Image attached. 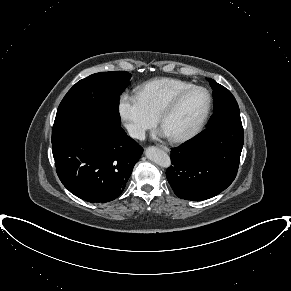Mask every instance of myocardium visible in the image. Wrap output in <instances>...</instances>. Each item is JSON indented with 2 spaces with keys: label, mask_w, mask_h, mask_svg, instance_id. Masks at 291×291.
<instances>
[{
  "label": "myocardium",
  "mask_w": 291,
  "mask_h": 291,
  "mask_svg": "<svg viewBox=\"0 0 291 291\" xmlns=\"http://www.w3.org/2000/svg\"><path fill=\"white\" fill-rule=\"evenodd\" d=\"M195 90H202L206 93L207 95V105L206 108L203 112V114L201 115L199 121L197 122V124L194 126V128L189 131L188 133L181 135V136H177V137H168V139L172 142V143H183L186 142L192 138H194L197 134L200 133V131L203 129L211 108H212V95L211 92L203 86H199V85H192L180 92H178L177 94H175L169 101L168 103L162 108V110L160 111L158 117H157V122L159 127L162 129L163 123L165 121V119L177 108V106L180 104V102L183 100V98L185 96H187L190 92L195 91Z\"/></svg>",
  "instance_id": "f54148a6"
}]
</instances>
